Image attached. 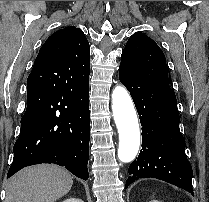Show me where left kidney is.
I'll return each instance as SVG.
<instances>
[{
	"label": "left kidney",
	"mask_w": 209,
	"mask_h": 202,
	"mask_svg": "<svg viewBox=\"0 0 209 202\" xmlns=\"http://www.w3.org/2000/svg\"><path fill=\"white\" fill-rule=\"evenodd\" d=\"M150 202H161V201H158V200H152V201H150Z\"/></svg>",
	"instance_id": "left-kidney-1"
}]
</instances>
